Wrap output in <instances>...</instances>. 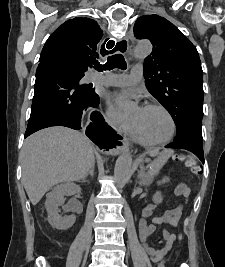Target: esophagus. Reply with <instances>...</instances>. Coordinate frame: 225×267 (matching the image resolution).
Segmentation results:
<instances>
[{"mask_svg":"<svg viewBox=\"0 0 225 267\" xmlns=\"http://www.w3.org/2000/svg\"><path fill=\"white\" fill-rule=\"evenodd\" d=\"M116 47V51L117 52H121V53H128L129 48H130V43H129V39L127 37L119 40L118 42L115 43L114 48ZM129 149V144L128 141L125 137L122 138L120 144L116 147L115 149V154H119L122 153L124 151H127Z\"/></svg>","mask_w":225,"mask_h":267,"instance_id":"1","label":"esophagus"}]
</instances>
